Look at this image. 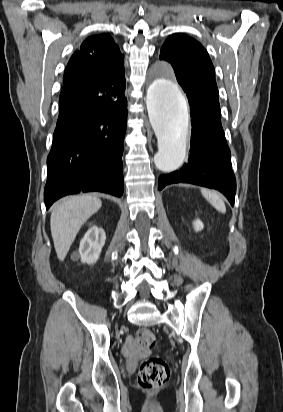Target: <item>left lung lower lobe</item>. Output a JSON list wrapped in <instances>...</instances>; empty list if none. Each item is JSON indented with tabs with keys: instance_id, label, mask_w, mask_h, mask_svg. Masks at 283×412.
<instances>
[{
	"instance_id": "1",
	"label": "left lung lower lobe",
	"mask_w": 283,
	"mask_h": 412,
	"mask_svg": "<svg viewBox=\"0 0 283 412\" xmlns=\"http://www.w3.org/2000/svg\"><path fill=\"white\" fill-rule=\"evenodd\" d=\"M191 154L177 171L161 175L158 190L173 183H190L217 189L234 205L236 180L231 154L221 125L220 108L190 94Z\"/></svg>"
}]
</instances>
